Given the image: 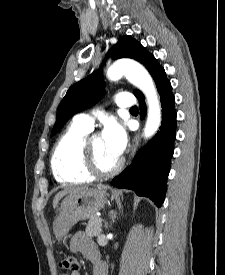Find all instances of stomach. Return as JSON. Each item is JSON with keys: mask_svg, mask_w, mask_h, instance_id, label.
Here are the masks:
<instances>
[{"mask_svg": "<svg viewBox=\"0 0 225 275\" xmlns=\"http://www.w3.org/2000/svg\"><path fill=\"white\" fill-rule=\"evenodd\" d=\"M106 200L107 193L105 187L69 194L60 203L53 222V233L56 238L66 236L76 223L95 215L96 212L104 207Z\"/></svg>", "mask_w": 225, "mask_h": 275, "instance_id": "stomach-1", "label": "stomach"}]
</instances>
